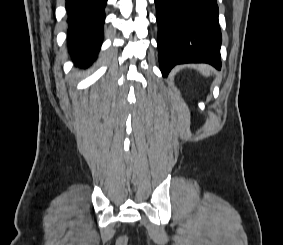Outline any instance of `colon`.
Wrapping results in <instances>:
<instances>
[{"instance_id": "colon-1", "label": "colon", "mask_w": 283, "mask_h": 245, "mask_svg": "<svg viewBox=\"0 0 283 245\" xmlns=\"http://www.w3.org/2000/svg\"><path fill=\"white\" fill-rule=\"evenodd\" d=\"M129 239L127 236H122L118 239L117 245H128Z\"/></svg>"}]
</instances>
